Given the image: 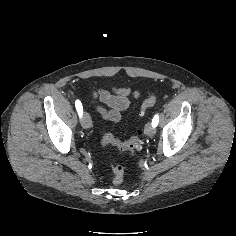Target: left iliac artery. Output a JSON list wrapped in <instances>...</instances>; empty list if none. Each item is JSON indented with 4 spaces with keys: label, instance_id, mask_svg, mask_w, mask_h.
Returning a JSON list of instances; mask_svg holds the SVG:
<instances>
[{
    "label": "left iliac artery",
    "instance_id": "1",
    "mask_svg": "<svg viewBox=\"0 0 236 236\" xmlns=\"http://www.w3.org/2000/svg\"><path fill=\"white\" fill-rule=\"evenodd\" d=\"M158 122H159V115L156 114L152 119V126L156 127L158 125Z\"/></svg>",
    "mask_w": 236,
    "mask_h": 236
}]
</instances>
